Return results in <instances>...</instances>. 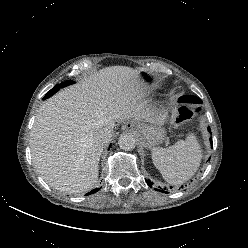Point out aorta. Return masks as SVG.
<instances>
[{
  "label": "aorta",
  "instance_id": "762f6f07",
  "mask_svg": "<svg viewBox=\"0 0 248 248\" xmlns=\"http://www.w3.org/2000/svg\"><path fill=\"white\" fill-rule=\"evenodd\" d=\"M118 145L125 151H131L136 147V139L131 134H122L119 137Z\"/></svg>",
  "mask_w": 248,
  "mask_h": 248
}]
</instances>
